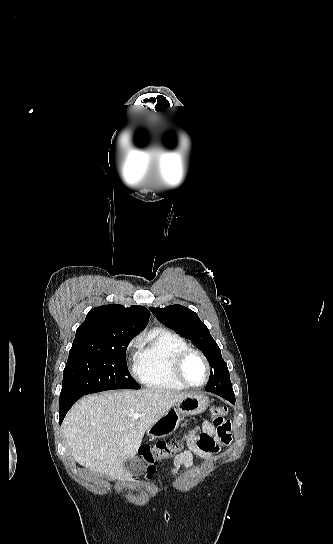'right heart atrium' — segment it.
<instances>
[{"mask_svg":"<svg viewBox=\"0 0 333 544\" xmlns=\"http://www.w3.org/2000/svg\"><path fill=\"white\" fill-rule=\"evenodd\" d=\"M136 343H137L136 340H133L132 342H130V344L128 345V351H131L136 346Z\"/></svg>","mask_w":333,"mask_h":544,"instance_id":"1","label":"right heart atrium"}]
</instances>
